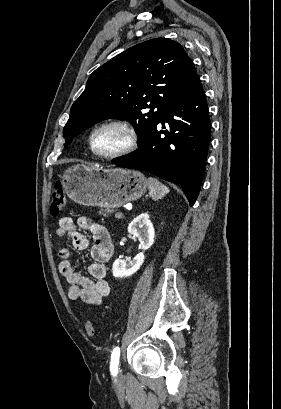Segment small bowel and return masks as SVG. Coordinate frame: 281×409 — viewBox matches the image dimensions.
<instances>
[{"label":"small bowel","instance_id":"obj_1","mask_svg":"<svg viewBox=\"0 0 281 409\" xmlns=\"http://www.w3.org/2000/svg\"><path fill=\"white\" fill-rule=\"evenodd\" d=\"M88 230L93 239L90 247L92 261L88 265L89 276L77 272L70 259V249L60 246L58 250L61 261L59 271L69 284V297L90 305H100L110 295L111 285L107 281L106 263L113 254V243L106 227L87 216L80 217L75 223L70 217H62L56 229L57 237L68 241L79 251L89 247V241L80 230Z\"/></svg>","mask_w":281,"mask_h":409}]
</instances>
